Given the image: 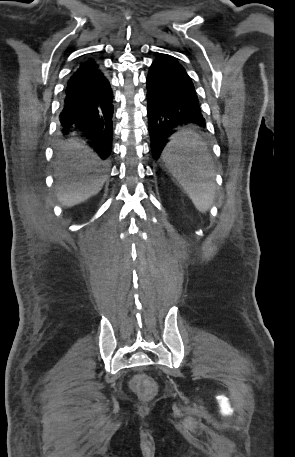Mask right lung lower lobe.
<instances>
[{
	"label": "right lung lower lobe",
	"instance_id": "right-lung-lower-lobe-1",
	"mask_svg": "<svg viewBox=\"0 0 295 457\" xmlns=\"http://www.w3.org/2000/svg\"><path fill=\"white\" fill-rule=\"evenodd\" d=\"M113 92L98 62L88 58L78 65L65 89L60 122L84 128L88 144L104 159L111 152Z\"/></svg>",
	"mask_w": 295,
	"mask_h": 457
}]
</instances>
